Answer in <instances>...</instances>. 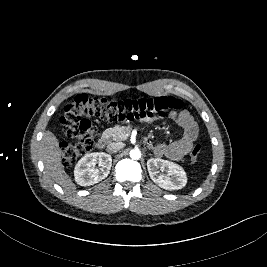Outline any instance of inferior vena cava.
Instances as JSON below:
<instances>
[{
    "label": "inferior vena cava",
    "mask_w": 267,
    "mask_h": 267,
    "mask_svg": "<svg viewBox=\"0 0 267 267\" xmlns=\"http://www.w3.org/2000/svg\"><path fill=\"white\" fill-rule=\"evenodd\" d=\"M123 147H124V143L122 142H112L107 145V151L109 153H115V152H118Z\"/></svg>",
    "instance_id": "obj_1"
}]
</instances>
